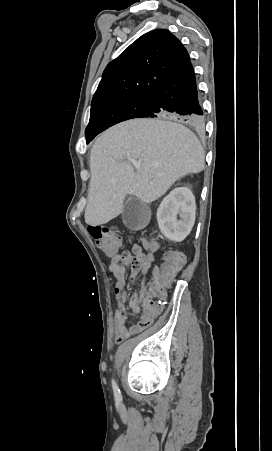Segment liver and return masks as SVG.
Listing matches in <instances>:
<instances>
[{"instance_id": "liver-1", "label": "liver", "mask_w": 272, "mask_h": 451, "mask_svg": "<svg viewBox=\"0 0 272 451\" xmlns=\"http://www.w3.org/2000/svg\"><path fill=\"white\" fill-rule=\"evenodd\" d=\"M178 122L177 116L137 118L100 134L90 154L86 224L100 226L122 214L127 194L151 204L183 176L204 170L200 142ZM127 158L140 160L137 172Z\"/></svg>"}]
</instances>
